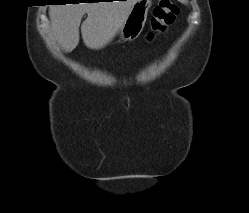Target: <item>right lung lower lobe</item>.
<instances>
[{
  "label": "right lung lower lobe",
  "instance_id": "obj_1",
  "mask_svg": "<svg viewBox=\"0 0 249 213\" xmlns=\"http://www.w3.org/2000/svg\"><path fill=\"white\" fill-rule=\"evenodd\" d=\"M91 1H97V0H91ZM59 3H61V2H59ZM93 3V2H92Z\"/></svg>",
  "mask_w": 249,
  "mask_h": 213
}]
</instances>
